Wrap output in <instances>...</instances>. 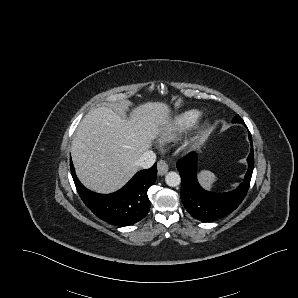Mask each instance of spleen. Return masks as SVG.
<instances>
[{
  "mask_svg": "<svg viewBox=\"0 0 298 298\" xmlns=\"http://www.w3.org/2000/svg\"><path fill=\"white\" fill-rule=\"evenodd\" d=\"M217 180L215 174L209 170H202L198 174V181L207 190H210L213 183Z\"/></svg>",
  "mask_w": 298,
  "mask_h": 298,
  "instance_id": "spleen-1",
  "label": "spleen"
}]
</instances>
